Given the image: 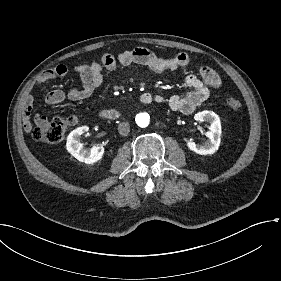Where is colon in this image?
Instances as JSON below:
<instances>
[{"instance_id": "colon-1", "label": "colon", "mask_w": 281, "mask_h": 281, "mask_svg": "<svg viewBox=\"0 0 281 281\" xmlns=\"http://www.w3.org/2000/svg\"><path fill=\"white\" fill-rule=\"evenodd\" d=\"M226 104L232 109H238L241 106L237 98H227ZM68 122L69 120L66 117H56L48 122L34 126L27 124L26 129L34 139L44 143L54 144L64 138L68 128Z\"/></svg>"}]
</instances>
